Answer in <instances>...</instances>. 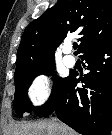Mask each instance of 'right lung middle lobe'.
Segmentation results:
<instances>
[{
  "instance_id": "right-lung-middle-lobe-1",
  "label": "right lung middle lobe",
  "mask_w": 112,
  "mask_h": 135,
  "mask_svg": "<svg viewBox=\"0 0 112 135\" xmlns=\"http://www.w3.org/2000/svg\"><path fill=\"white\" fill-rule=\"evenodd\" d=\"M54 69H55L54 62H51V63L45 65L40 70H38L37 72L14 76L15 88H16V91H15L16 102L14 103V108H15L16 113L20 117H22L23 113H25V112H31V102L27 96V92H28V88L31 85L33 79L40 74L52 75L54 73ZM65 80H66V78H61V77H56L54 79L52 93H51L48 101L41 107L33 108V111L36 114H38L45 105H47L48 103H50L51 101L54 100V98L58 94V92Z\"/></svg>"
}]
</instances>
